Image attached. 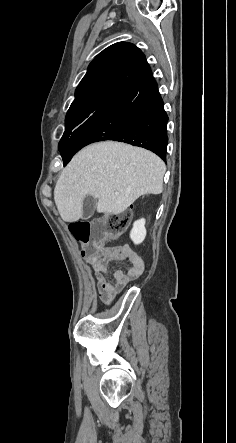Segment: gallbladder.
<instances>
[{"label":"gallbladder","instance_id":"obj_1","mask_svg":"<svg viewBox=\"0 0 236 443\" xmlns=\"http://www.w3.org/2000/svg\"><path fill=\"white\" fill-rule=\"evenodd\" d=\"M97 206V199L91 195H86L83 200L82 219L90 218Z\"/></svg>","mask_w":236,"mask_h":443}]
</instances>
